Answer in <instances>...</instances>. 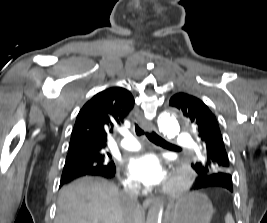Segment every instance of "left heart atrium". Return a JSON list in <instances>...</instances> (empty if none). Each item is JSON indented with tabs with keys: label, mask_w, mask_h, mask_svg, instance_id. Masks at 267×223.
Listing matches in <instances>:
<instances>
[{
	"label": "left heart atrium",
	"mask_w": 267,
	"mask_h": 223,
	"mask_svg": "<svg viewBox=\"0 0 267 223\" xmlns=\"http://www.w3.org/2000/svg\"><path fill=\"white\" fill-rule=\"evenodd\" d=\"M131 176L146 187H154L165 183L168 173L163 160L151 153L133 156L128 164Z\"/></svg>",
	"instance_id": "left-heart-atrium-1"
}]
</instances>
